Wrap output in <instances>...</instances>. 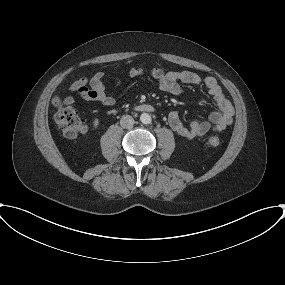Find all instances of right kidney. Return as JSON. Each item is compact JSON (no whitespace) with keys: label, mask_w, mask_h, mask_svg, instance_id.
I'll list each match as a JSON object with an SVG mask.
<instances>
[{"label":"right kidney","mask_w":285,"mask_h":285,"mask_svg":"<svg viewBox=\"0 0 285 285\" xmlns=\"http://www.w3.org/2000/svg\"><path fill=\"white\" fill-rule=\"evenodd\" d=\"M98 125H99V119H95L94 121H93V129H96L97 127H98Z\"/></svg>","instance_id":"obj_1"}]
</instances>
